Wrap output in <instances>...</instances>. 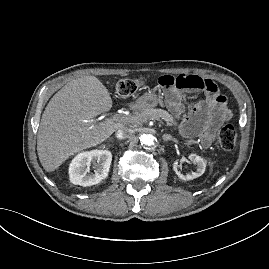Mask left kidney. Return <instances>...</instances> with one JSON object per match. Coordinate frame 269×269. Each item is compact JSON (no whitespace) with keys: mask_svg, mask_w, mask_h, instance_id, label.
I'll list each match as a JSON object with an SVG mask.
<instances>
[{"mask_svg":"<svg viewBox=\"0 0 269 269\" xmlns=\"http://www.w3.org/2000/svg\"><path fill=\"white\" fill-rule=\"evenodd\" d=\"M188 158L197 166L196 171L192 172L191 174L183 175L181 172L178 171V161H174L173 163V170L175 171L176 175L184 181L193 180L197 177H200L206 168V160L196 154H190Z\"/></svg>","mask_w":269,"mask_h":269,"instance_id":"obj_1","label":"left kidney"}]
</instances>
